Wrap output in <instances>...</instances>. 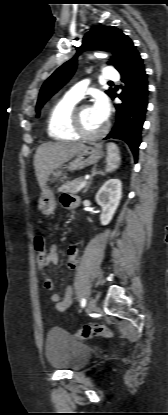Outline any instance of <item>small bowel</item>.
Masks as SVG:
<instances>
[{"label":"small bowel","instance_id":"small-bowel-1","mask_svg":"<svg viewBox=\"0 0 168 415\" xmlns=\"http://www.w3.org/2000/svg\"><path fill=\"white\" fill-rule=\"evenodd\" d=\"M61 203L66 209L71 210V209H74L78 205V199L73 195L64 194L61 197ZM77 256H78V246L76 244H72L68 248V261H67L68 268L75 269L77 267L78 265ZM58 259L59 258H58L57 247L55 245H52L47 251V262L46 263L48 264V267L53 264H57ZM40 275L44 279V283H43L44 288L48 291L53 290L54 283L48 277V275L46 274V271H43V273ZM73 293L74 291H73L72 286H67L62 298L58 294L54 293L51 295L50 299L55 304L56 309L58 311L63 312L69 309V307L71 306L72 301H73Z\"/></svg>","mask_w":168,"mask_h":415}]
</instances>
